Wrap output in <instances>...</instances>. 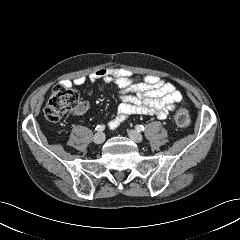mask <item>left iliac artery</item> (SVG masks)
Returning <instances> with one entry per match:
<instances>
[{
	"instance_id": "44dca946",
	"label": "left iliac artery",
	"mask_w": 240,
	"mask_h": 240,
	"mask_svg": "<svg viewBox=\"0 0 240 240\" xmlns=\"http://www.w3.org/2000/svg\"><path fill=\"white\" fill-rule=\"evenodd\" d=\"M136 130L138 131V132H142V131H144V126L143 125H136Z\"/></svg>"
}]
</instances>
